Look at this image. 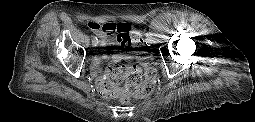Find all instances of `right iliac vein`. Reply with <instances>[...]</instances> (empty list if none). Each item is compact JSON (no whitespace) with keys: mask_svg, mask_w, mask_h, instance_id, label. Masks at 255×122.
I'll return each mask as SVG.
<instances>
[{"mask_svg":"<svg viewBox=\"0 0 255 122\" xmlns=\"http://www.w3.org/2000/svg\"><path fill=\"white\" fill-rule=\"evenodd\" d=\"M98 42H92V47H96Z\"/></svg>","mask_w":255,"mask_h":122,"instance_id":"right-iliac-vein-1","label":"right iliac vein"}]
</instances>
